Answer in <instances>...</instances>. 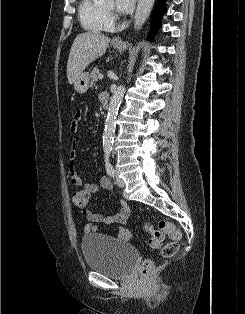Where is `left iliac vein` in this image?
<instances>
[{
    "instance_id": "1",
    "label": "left iliac vein",
    "mask_w": 245,
    "mask_h": 314,
    "mask_svg": "<svg viewBox=\"0 0 245 314\" xmlns=\"http://www.w3.org/2000/svg\"><path fill=\"white\" fill-rule=\"evenodd\" d=\"M116 184H117L119 187H124V185H125L123 179L120 178L119 176H116Z\"/></svg>"
}]
</instances>
